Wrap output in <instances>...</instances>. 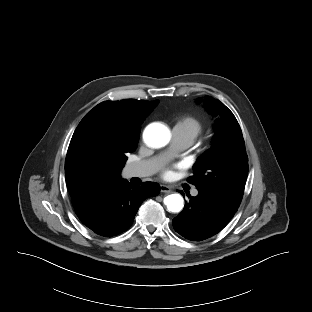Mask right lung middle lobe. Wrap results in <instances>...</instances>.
Returning a JSON list of instances; mask_svg holds the SVG:
<instances>
[{
    "instance_id": "1",
    "label": "right lung middle lobe",
    "mask_w": 312,
    "mask_h": 312,
    "mask_svg": "<svg viewBox=\"0 0 312 312\" xmlns=\"http://www.w3.org/2000/svg\"><path fill=\"white\" fill-rule=\"evenodd\" d=\"M126 160H127L126 155L121 156V161L123 162V164H125Z\"/></svg>"
}]
</instances>
